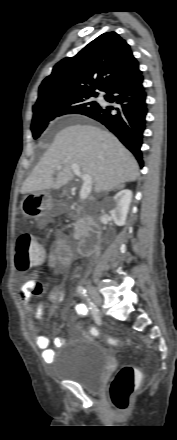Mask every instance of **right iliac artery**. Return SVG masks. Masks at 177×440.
<instances>
[{"label":"right iliac artery","mask_w":177,"mask_h":440,"mask_svg":"<svg viewBox=\"0 0 177 440\" xmlns=\"http://www.w3.org/2000/svg\"><path fill=\"white\" fill-rule=\"evenodd\" d=\"M77 291L79 294L87 298L89 309L91 310V313L94 317L95 322L100 325L101 324V318L99 310L96 308L93 302L90 301V299L87 297V291L83 286H78Z\"/></svg>","instance_id":"82829eb1"}]
</instances>
